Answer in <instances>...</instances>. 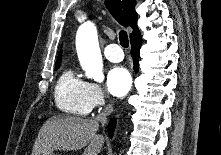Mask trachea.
I'll return each instance as SVG.
<instances>
[{"label": "trachea", "instance_id": "1", "mask_svg": "<svg viewBox=\"0 0 221 155\" xmlns=\"http://www.w3.org/2000/svg\"><path fill=\"white\" fill-rule=\"evenodd\" d=\"M119 40H120V44L124 48H128V46H129L128 35H127V33L125 31H121L120 32Z\"/></svg>", "mask_w": 221, "mask_h": 155}]
</instances>
